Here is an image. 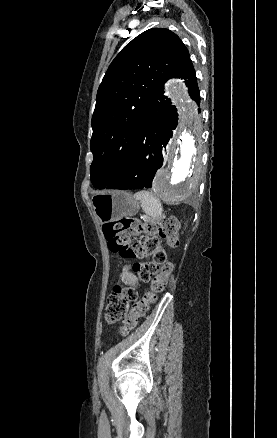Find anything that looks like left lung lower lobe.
<instances>
[{
  "label": "left lung lower lobe",
  "instance_id": "0a47b994",
  "mask_svg": "<svg viewBox=\"0 0 277 438\" xmlns=\"http://www.w3.org/2000/svg\"><path fill=\"white\" fill-rule=\"evenodd\" d=\"M177 120L170 101L152 98L141 116L133 154L121 176L107 189L150 188L157 169L163 164L164 149Z\"/></svg>",
  "mask_w": 277,
  "mask_h": 438
}]
</instances>
